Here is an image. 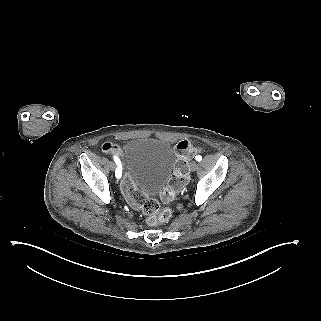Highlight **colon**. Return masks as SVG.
<instances>
[{
    "label": "colon",
    "mask_w": 321,
    "mask_h": 321,
    "mask_svg": "<svg viewBox=\"0 0 321 321\" xmlns=\"http://www.w3.org/2000/svg\"><path fill=\"white\" fill-rule=\"evenodd\" d=\"M105 152H110L118 159L120 167L124 169V164L120 160L119 147L111 142L103 145ZM197 146L187 140L180 141L176 147V162L174 172L169 181L168 187L164 190L162 198L169 202L174 199L177 192L184 186L189 173V163L191 158L197 152ZM121 189L129 202V204L142 211L145 215V221L149 225H158L168 221L172 215L171 210L167 207H162L156 199L149 198L139 193L127 179L121 182Z\"/></svg>",
    "instance_id": "colon-1"
}]
</instances>
